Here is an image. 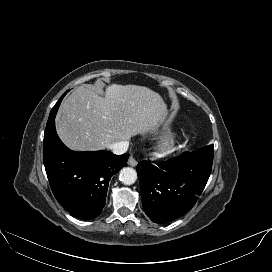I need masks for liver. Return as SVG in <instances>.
Wrapping results in <instances>:
<instances>
[{"mask_svg":"<svg viewBox=\"0 0 272 272\" xmlns=\"http://www.w3.org/2000/svg\"><path fill=\"white\" fill-rule=\"evenodd\" d=\"M167 115L166 103L153 90L112 84L104 97L85 86L76 88L61 103L55 122L68 148L97 151L158 129Z\"/></svg>","mask_w":272,"mask_h":272,"instance_id":"obj_1","label":"liver"}]
</instances>
